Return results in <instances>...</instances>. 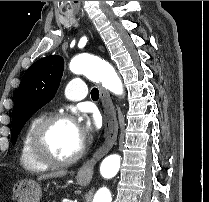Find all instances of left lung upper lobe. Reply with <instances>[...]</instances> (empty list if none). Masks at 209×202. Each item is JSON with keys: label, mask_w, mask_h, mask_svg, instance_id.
I'll list each match as a JSON object with an SVG mask.
<instances>
[{"label": "left lung upper lobe", "mask_w": 209, "mask_h": 202, "mask_svg": "<svg viewBox=\"0 0 209 202\" xmlns=\"http://www.w3.org/2000/svg\"><path fill=\"white\" fill-rule=\"evenodd\" d=\"M64 70L61 56L50 55L33 63L25 72L15 96L12 112V144L30 117L51 101Z\"/></svg>", "instance_id": "left-lung-upper-lobe-1"}]
</instances>
